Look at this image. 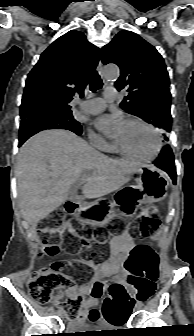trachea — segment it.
Segmentation results:
<instances>
[{
    "label": "trachea",
    "instance_id": "trachea-1",
    "mask_svg": "<svg viewBox=\"0 0 194 336\" xmlns=\"http://www.w3.org/2000/svg\"><path fill=\"white\" fill-rule=\"evenodd\" d=\"M103 86L102 79L96 71H93L90 75V89L92 92L101 89Z\"/></svg>",
    "mask_w": 194,
    "mask_h": 336
}]
</instances>
